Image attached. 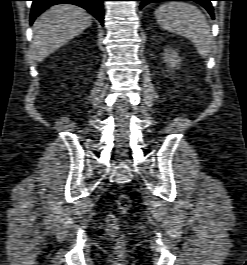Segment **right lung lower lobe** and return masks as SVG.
<instances>
[{
  "mask_svg": "<svg viewBox=\"0 0 247 265\" xmlns=\"http://www.w3.org/2000/svg\"><path fill=\"white\" fill-rule=\"evenodd\" d=\"M30 24L34 22L44 10L56 4L68 3L80 6L90 12L101 24L104 22L103 1L105 0H32Z\"/></svg>",
  "mask_w": 247,
  "mask_h": 265,
  "instance_id": "1",
  "label": "right lung lower lobe"
}]
</instances>
